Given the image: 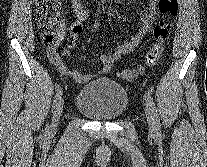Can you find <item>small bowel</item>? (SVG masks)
Wrapping results in <instances>:
<instances>
[{
	"mask_svg": "<svg viewBox=\"0 0 207 167\" xmlns=\"http://www.w3.org/2000/svg\"><path fill=\"white\" fill-rule=\"evenodd\" d=\"M70 2L77 16V20L70 26L71 36L69 37L67 47L63 51L59 52L58 45L52 46L48 48L47 53L50 61L62 75L70 76L79 83H85L109 73L117 60L130 53L139 44L152 25L154 15L157 10L158 0H148L146 11L139 13L141 21L139 28L132 34L128 41L115 48L112 53L100 55L99 59L102 66L90 73H82L77 66L69 68L61 59V56L73 58L72 49L74 48L77 37L83 28V23L89 19V13L82 6L81 0H70ZM64 35L65 31L62 32L60 42L63 40Z\"/></svg>",
	"mask_w": 207,
	"mask_h": 167,
	"instance_id": "obj_1",
	"label": "small bowel"
}]
</instances>
